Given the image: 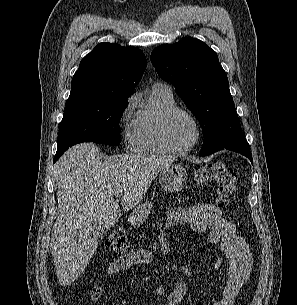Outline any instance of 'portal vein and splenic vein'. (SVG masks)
Segmentation results:
<instances>
[{
	"mask_svg": "<svg viewBox=\"0 0 297 305\" xmlns=\"http://www.w3.org/2000/svg\"><path fill=\"white\" fill-rule=\"evenodd\" d=\"M115 196H116V197H120V194H119V193H116Z\"/></svg>",
	"mask_w": 297,
	"mask_h": 305,
	"instance_id": "1",
	"label": "portal vein and splenic vein"
}]
</instances>
